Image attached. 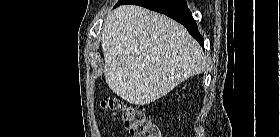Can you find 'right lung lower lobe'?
<instances>
[{
  "instance_id": "obj_1",
  "label": "right lung lower lobe",
  "mask_w": 280,
  "mask_h": 137,
  "mask_svg": "<svg viewBox=\"0 0 280 137\" xmlns=\"http://www.w3.org/2000/svg\"><path fill=\"white\" fill-rule=\"evenodd\" d=\"M134 4L163 13L181 23L199 44L204 46V39L198 31L196 21L187 7L185 0H124L120 5Z\"/></svg>"
}]
</instances>
